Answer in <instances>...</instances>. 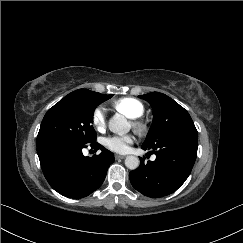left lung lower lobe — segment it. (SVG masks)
Masks as SVG:
<instances>
[{"label":"left lung lower lobe","instance_id":"0a47b994","mask_svg":"<svg viewBox=\"0 0 243 243\" xmlns=\"http://www.w3.org/2000/svg\"><path fill=\"white\" fill-rule=\"evenodd\" d=\"M198 135L187 134L160 143L151 149L155 161L144 163L130 172L132 186L145 196L158 198L176 191L188 178L197 157Z\"/></svg>","mask_w":243,"mask_h":243}]
</instances>
